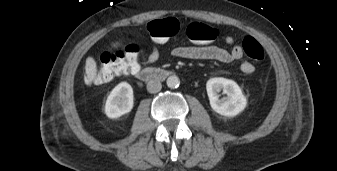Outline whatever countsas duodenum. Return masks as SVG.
I'll return each mask as SVG.
<instances>
[{
    "label": "duodenum",
    "instance_id": "duodenum-1",
    "mask_svg": "<svg viewBox=\"0 0 337 171\" xmlns=\"http://www.w3.org/2000/svg\"><path fill=\"white\" fill-rule=\"evenodd\" d=\"M171 72L162 68H147L139 70L136 77L141 81L164 80L169 77Z\"/></svg>",
    "mask_w": 337,
    "mask_h": 171
}]
</instances>
